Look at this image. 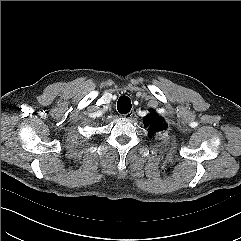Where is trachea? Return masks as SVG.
<instances>
[{
  "mask_svg": "<svg viewBox=\"0 0 241 241\" xmlns=\"http://www.w3.org/2000/svg\"><path fill=\"white\" fill-rule=\"evenodd\" d=\"M132 104L127 96H121L117 102V110L121 114H126L130 112Z\"/></svg>",
  "mask_w": 241,
  "mask_h": 241,
  "instance_id": "3493384b",
  "label": "trachea"
}]
</instances>
